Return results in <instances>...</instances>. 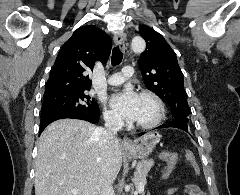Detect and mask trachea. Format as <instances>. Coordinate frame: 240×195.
<instances>
[{
	"instance_id": "trachea-1",
	"label": "trachea",
	"mask_w": 240,
	"mask_h": 195,
	"mask_svg": "<svg viewBox=\"0 0 240 195\" xmlns=\"http://www.w3.org/2000/svg\"><path fill=\"white\" fill-rule=\"evenodd\" d=\"M122 58H123V53L120 50L119 46L114 47L112 51V57H111L112 66L115 67L116 65H119L122 61Z\"/></svg>"
}]
</instances>
